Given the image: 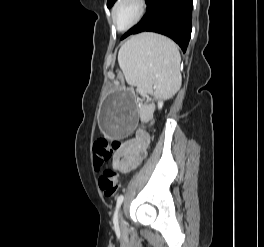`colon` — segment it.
Masks as SVG:
<instances>
[{
  "mask_svg": "<svg viewBox=\"0 0 264 247\" xmlns=\"http://www.w3.org/2000/svg\"><path fill=\"white\" fill-rule=\"evenodd\" d=\"M121 146L119 141H110L108 139H99L93 144V162L97 169L107 163L112 156L113 151ZM98 184L106 197H113L119 190L118 174L115 170L107 168L103 170L98 178Z\"/></svg>",
  "mask_w": 264,
  "mask_h": 247,
  "instance_id": "5ec220e1",
  "label": "colon"
}]
</instances>
